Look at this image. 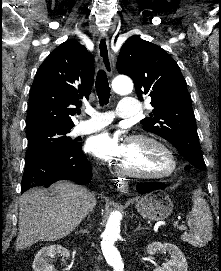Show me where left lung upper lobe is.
I'll return each instance as SVG.
<instances>
[{
	"mask_svg": "<svg viewBox=\"0 0 221 271\" xmlns=\"http://www.w3.org/2000/svg\"><path fill=\"white\" fill-rule=\"evenodd\" d=\"M117 70L133 79L139 100L152 98L150 117L140 121L143 129L172 143L184 161L205 171L191 96L176 61L160 46L133 36L121 48Z\"/></svg>",
	"mask_w": 221,
	"mask_h": 271,
	"instance_id": "left-lung-upper-lobe-1",
	"label": "left lung upper lobe"
}]
</instances>
